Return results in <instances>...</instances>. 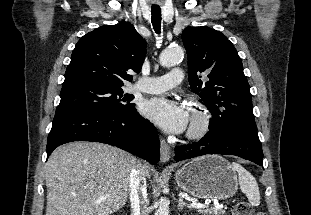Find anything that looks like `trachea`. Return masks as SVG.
<instances>
[{
    "mask_svg": "<svg viewBox=\"0 0 311 215\" xmlns=\"http://www.w3.org/2000/svg\"><path fill=\"white\" fill-rule=\"evenodd\" d=\"M151 22L157 34L161 33V9L158 6H153L151 9Z\"/></svg>",
    "mask_w": 311,
    "mask_h": 215,
    "instance_id": "1",
    "label": "trachea"
}]
</instances>
